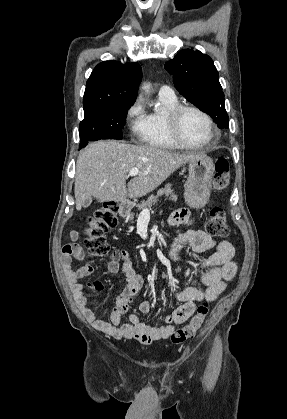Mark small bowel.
<instances>
[{
    "label": "small bowel",
    "mask_w": 287,
    "mask_h": 419,
    "mask_svg": "<svg viewBox=\"0 0 287 419\" xmlns=\"http://www.w3.org/2000/svg\"><path fill=\"white\" fill-rule=\"evenodd\" d=\"M173 226L189 224L192 222L190 214L186 209L177 210L169 220ZM80 233L77 230L69 232L67 242L61 253V264L70 283L74 299L83 316L97 330L108 334L116 339H126L149 345L160 339L169 338L175 329L185 322L194 312L195 306L202 300L214 301L226 288V282L234 278L237 265L233 261L235 250L233 245L223 240L214 241L203 230L189 229L180 233L173 241L170 256L176 260L178 252L184 246H189L193 251L201 253L214 249V253L205 259L197 268L201 282L206 286L205 290L189 287L176 293V298L182 302L171 315L167 316L163 324L150 326L141 322L137 314H131L129 322L123 323L122 317L128 312L135 295L143 286L142 274L137 272L125 250H120L121 264L116 259L108 263V271L112 274L122 271L126 276L123 289L116 299L114 307L110 311L109 321L99 319L90 308L87 298L83 292V285L80 279L88 277L94 271L91 263L85 266L72 269L74 259L85 260L86 254L78 243ZM87 286L95 291H102L104 284L101 281H92ZM139 310L148 313L151 310V303L143 301Z\"/></svg>",
    "instance_id": "1"
}]
</instances>
